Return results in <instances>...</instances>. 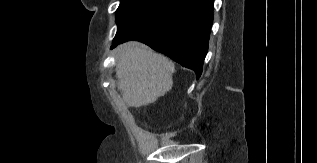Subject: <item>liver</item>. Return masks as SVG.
<instances>
[{"label":"liver","instance_id":"1","mask_svg":"<svg viewBox=\"0 0 317 163\" xmlns=\"http://www.w3.org/2000/svg\"><path fill=\"white\" fill-rule=\"evenodd\" d=\"M174 64L165 56L127 42L118 47L117 88L129 107L154 103L173 85Z\"/></svg>","mask_w":317,"mask_h":163}]
</instances>
